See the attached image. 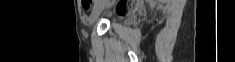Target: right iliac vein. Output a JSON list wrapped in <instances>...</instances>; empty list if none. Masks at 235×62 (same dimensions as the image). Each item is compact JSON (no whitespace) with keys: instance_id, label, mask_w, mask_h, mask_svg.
<instances>
[{"instance_id":"1","label":"right iliac vein","mask_w":235,"mask_h":62,"mask_svg":"<svg viewBox=\"0 0 235 62\" xmlns=\"http://www.w3.org/2000/svg\"><path fill=\"white\" fill-rule=\"evenodd\" d=\"M107 1H103L102 3L98 4L97 6L94 7L90 18H89V24L90 26L93 25V23L97 20L99 17L100 13L104 10V8L107 6Z\"/></svg>"}]
</instances>
